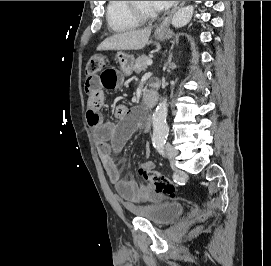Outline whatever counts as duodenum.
Wrapping results in <instances>:
<instances>
[{"label":"duodenum","instance_id":"1","mask_svg":"<svg viewBox=\"0 0 271 266\" xmlns=\"http://www.w3.org/2000/svg\"><path fill=\"white\" fill-rule=\"evenodd\" d=\"M158 95L155 91H149L144 95V104L147 107H154L157 103Z\"/></svg>","mask_w":271,"mask_h":266}]
</instances>
